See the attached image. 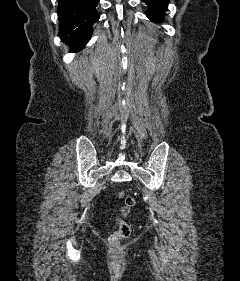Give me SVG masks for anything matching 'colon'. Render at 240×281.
I'll return each instance as SVG.
<instances>
[{"label":"colon","instance_id":"1","mask_svg":"<svg viewBox=\"0 0 240 281\" xmlns=\"http://www.w3.org/2000/svg\"><path fill=\"white\" fill-rule=\"evenodd\" d=\"M120 197L123 199V205L119 210L120 217L118 220V228L108 239V246L111 250L118 249L121 242L129 237L131 228L130 225L125 221V218L128 217L131 209L136 204L135 198L131 195L120 193Z\"/></svg>","mask_w":240,"mask_h":281}]
</instances>
